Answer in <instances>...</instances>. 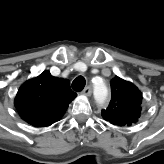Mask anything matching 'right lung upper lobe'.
<instances>
[{"mask_svg":"<svg viewBox=\"0 0 164 164\" xmlns=\"http://www.w3.org/2000/svg\"><path fill=\"white\" fill-rule=\"evenodd\" d=\"M76 96L68 80L53 77L49 71H44L20 87L15 107L29 124L35 127L49 126L65 113Z\"/></svg>","mask_w":164,"mask_h":164,"instance_id":"1","label":"right lung upper lobe"}]
</instances>
